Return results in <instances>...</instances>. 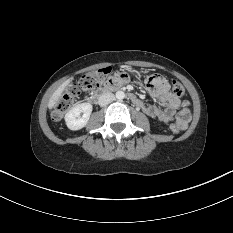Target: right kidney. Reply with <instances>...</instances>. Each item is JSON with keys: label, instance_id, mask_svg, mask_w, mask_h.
Instances as JSON below:
<instances>
[{"label": "right kidney", "instance_id": "1", "mask_svg": "<svg viewBox=\"0 0 233 233\" xmlns=\"http://www.w3.org/2000/svg\"><path fill=\"white\" fill-rule=\"evenodd\" d=\"M92 109L93 108L90 103H81L74 106L65 114L67 127L74 131L85 127L89 121Z\"/></svg>", "mask_w": 233, "mask_h": 233}]
</instances>
